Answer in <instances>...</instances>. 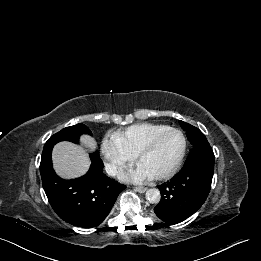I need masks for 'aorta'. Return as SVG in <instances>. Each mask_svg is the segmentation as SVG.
Segmentation results:
<instances>
[{
	"instance_id": "762f6f07",
	"label": "aorta",
	"mask_w": 261,
	"mask_h": 261,
	"mask_svg": "<svg viewBox=\"0 0 261 261\" xmlns=\"http://www.w3.org/2000/svg\"><path fill=\"white\" fill-rule=\"evenodd\" d=\"M146 199L150 202V203H159L160 199H161V194L160 191L157 188H150L147 190L146 192Z\"/></svg>"
}]
</instances>
